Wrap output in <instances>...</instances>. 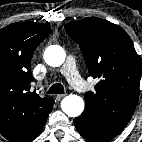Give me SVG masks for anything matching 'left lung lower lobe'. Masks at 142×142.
<instances>
[{
  "mask_svg": "<svg viewBox=\"0 0 142 142\" xmlns=\"http://www.w3.org/2000/svg\"><path fill=\"white\" fill-rule=\"evenodd\" d=\"M78 132L93 142H108L121 131L107 128L93 114L84 110L81 116L74 119Z\"/></svg>",
  "mask_w": 142,
  "mask_h": 142,
  "instance_id": "left-lung-lower-lobe-1",
  "label": "left lung lower lobe"
}]
</instances>
